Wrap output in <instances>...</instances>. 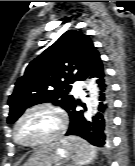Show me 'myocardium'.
<instances>
[{
  "mask_svg": "<svg viewBox=\"0 0 135 166\" xmlns=\"http://www.w3.org/2000/svg\"><path fill=\"white\" fill-rule=\"evenodd\" d=\"M41 110H46V111H50L52 113H54L57 117V121H58V125L57 128L55 130V132L53 134H51L50 136L41 139L39 141L36 142H32V143H24L21 142L18 137H17V129L19 124L31 113L36 112V111H41ZM65 127H66V117L64 114V111L57 105L52 104V103H39V104H35L33 106L28 107L15 121L14 125H13V130H12V137L13 140L15 141L16 144L23 146V147H28V148H33V147H38V146H43V145H47L50 144L56 140H58L62 134L65 131Z\"/></svg>",
  "mask_w": 135,
  "mask_h": 166,
  "instance_id": "1",
  "label": "myocardium"
}]
</instances>
